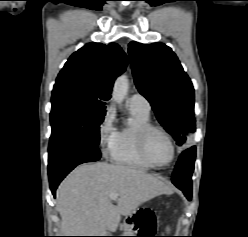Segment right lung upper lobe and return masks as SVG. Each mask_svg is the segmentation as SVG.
<instances>
[{
  "label": "right lung upper lobe",
  "instance_id": "obj_1",
  "mask_svg": "<svg viewBox=\"0 0 248 237\" xmlns=\"http://www.w3.org/2000/svg\"><path fill=\"white\" fill-rule=\"evenodd\" d=\"M127 66L126 54L115 43H89L73 53L60 71L51 102L75 101L105 110L114 80Z\"/></svg>",
  "mask_w": 248,
  "mask_h": 237
}]
</instances>
